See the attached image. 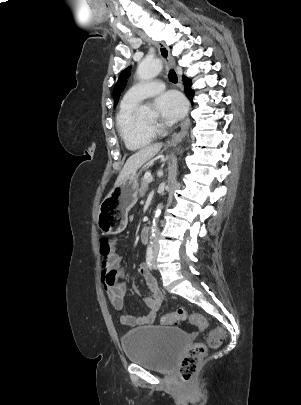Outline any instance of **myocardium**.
<instances>
[{"label": "myocardium", "mask_w": 301, "mask_h": 405, "mask_svg": "<svg viewBox=\"0 0 301 405\" xmlns=\"http://www.w3.org/2000/svg\"><path fill=\"white\" fill-rule=\"evenodd\" d=\"M140 123H141L142 127H143L145 130L149 131V132H153V133H154V132L156 131V129H157L155 123H153V124H147V123H144V122H141V121H140Z\"/></svg>", "instance_id": "myocardium-1"}]
</instances>
